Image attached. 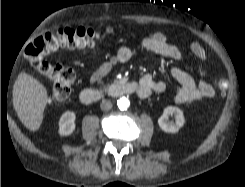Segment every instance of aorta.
<instances>
[{
  "mask_svg": "<svg viewBox=\"0 0 245 187\" xmlns=\"http://www.w3.org/2000/svg\"><path fill=\"white\" fill-rule=\"evenodd\" d=\"M130 105V101L126 97L117 100V106L120 110H126Z\"/></svg>",
  "mask_w": 245,
  "mask_h": 187,
  "instance_id": "obj_1",
  "label": "aorta"
}]
</instances>
